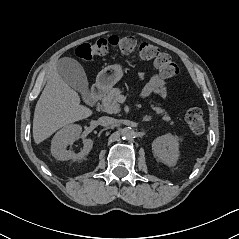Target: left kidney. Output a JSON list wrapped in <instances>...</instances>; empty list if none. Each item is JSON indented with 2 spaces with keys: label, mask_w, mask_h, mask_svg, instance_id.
<instances>
[{
  "label": "left kidney",
  "mask_w": 239,
  "mask_h": 239,
  "mask_svg": "<svg viewBox=\"0 0 239 239\" xmlns=\"http://www.w3.org/2000/svg\"><path fill=\"white\" fill-rule=\"evenodd\" d=\"M156 157L168 166H174L179 158V139L172 134L157 137L152 143Z\"/></svg>",
  "instance_id": "1"
}]
</instances>
